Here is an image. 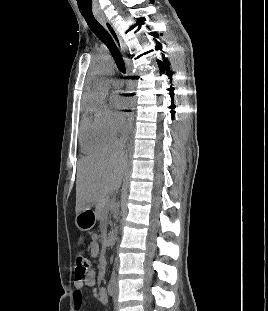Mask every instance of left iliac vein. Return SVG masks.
<instances>
[{
    "label": "left iliac vein",
    "mask_w": 268,
    "mask_h": 311,
    "mask_svg": "<svg viewBox=\"0 0 268 311\" xmlns=\"http://www.w3.org/2000/svg\"><path fill=\"white\" fill-rule=\"evenodd\" d=\"M113 301H114L115 311H118V285H117L116 281H115V289H114Z\"/></svg>",
    "instance_id": "1"
}]
</instances>
